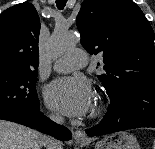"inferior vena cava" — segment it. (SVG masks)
Returning a JSON list of instances; mask_svg holds the SVG:
<instances>
[{"label": "inferior vena cava", "mask_w": 155, "mask_h": 149, "mask_svg": "<svg viewBox=\"0 0 155 149\" xmlns=\"http://www.w3.org/2000/svg\"><path fill=\"white\" fill-rule=\"evenodd\" d=\"M50 118L58 124H62L64 122L63 117L60 115H51ZM44 147L46 149H62V144L58 140L46 136L44 140Z\"/></svg>", "instance_id": "602c4592"}]
</instances>
